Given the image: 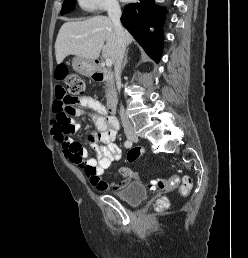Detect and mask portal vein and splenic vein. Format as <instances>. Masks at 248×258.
Returning a JSON list of instances; mask_svg holds the SVG:
<instances>
[{
	"mask_svg": "<svg viewBox=\"0 0 248 258\" xmlns=\"http://www.w3.org/2000/svg\"><path fill=\"white\" fill-rule=\"evenodd\" d=\"M105 64H106L107 67L112 66V61H111V59H106V60H105Z\"/></svg>",
	"mask_w": 248,
	"mask_h": 258,
	"instance_id": "portal-vein-and-splenic-vein-1",
	"label": "portal vein and splenic vein"
}]
</instances>
